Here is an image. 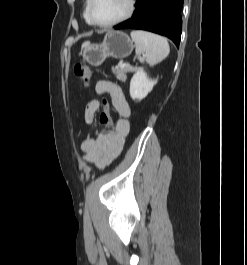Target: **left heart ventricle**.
I'll return each instance as SVG.
<instances>
[{
    "instance_id": "1",
    "label": "left heart ventricle",
    "mask_w": 247,
    "mask_h": 265,
    "mask_svg": "<svg viewBox=\"0 0 247 265\" xmlns=\"http://www.w3.org/2000/svg\"><path fill=\"white\" fill-rule=\"evenodd\" d=\"M128 7V0H94L93 18L100 23H108L122 16Z\"/></svg>"
}]
</instances>
